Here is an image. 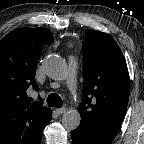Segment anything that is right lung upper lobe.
I'll use <instances>...</instances> for the list:
<instances>
[{"mask_svg":"<svg viewBox=\"0 0 144 144\" xmlns=\"http://www.w3.org/2000/svg\"><path fill=\"white\" fill-rule=\"evenodd\" d=\"M53 40L46 28H21L0 41V144H35L50 122L51 110L41 100L31 103L27 89H39L36 65Z\"/></svg>","mask_w":144,"mask_h":144,"instance_id":"cb5924a9","label":"right lung upper lobe"}]
</instances>
